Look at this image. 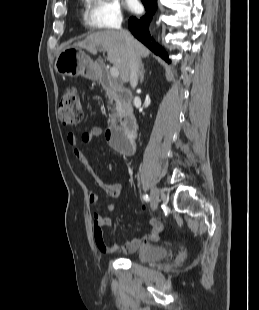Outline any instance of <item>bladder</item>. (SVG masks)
I'll use <instances>...</instances> for the list:
<instances>
[{
	"mask_svg": "<svg viewBox=\"0 0 259 310\" xmlns=\"http://www.w3.org/2000/svg\"><path fill=\"white\" fill-rule=\"evenodd\" d=\"M169 250L160 245L148 244L142 246L135 254V261L139 263H150L164 260L168 257Z\"/></svg>",
	"mask_w": 259,
	"mask_h": 310,
	"instance_id": "31cf9c89",
	"label": "bladder"
}]
</instances>
